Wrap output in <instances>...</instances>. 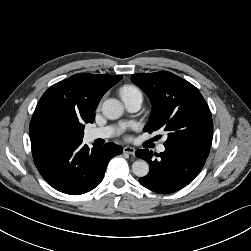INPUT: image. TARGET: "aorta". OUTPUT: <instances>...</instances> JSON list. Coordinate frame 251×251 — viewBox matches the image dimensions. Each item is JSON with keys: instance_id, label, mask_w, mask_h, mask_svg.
<instances>
[{"instance_id": "aorta-1", "label": "aorta", "mask_w": 251, "mask_h": 251, "mask_svg": "<svg viewBox=\"0 0 251 251\" xmlns=\"http://www.w3.org/2000/svg\"><path fill=\"white\" fill-rule=\"evenodd\" d=\"M123 111V105L116 99H107L102 104V113L108 119H118ZM132 171L136 176L144 177L149 173V165L144 160H137L132 164Z\"/></svg>"}]
</instances>
